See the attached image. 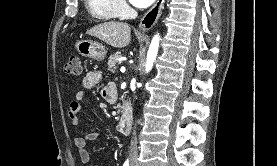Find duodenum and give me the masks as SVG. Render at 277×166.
I'll return each mask as SVG.
<instances>
[{
	"instance_id": "duodenum-1",
	"label": "duodenum",
	"mask_w": 277,
	"mask_h": 166,
	"mask_svg": "<svg viewBox=\"0 0 277 166\" xmlns=\"http://www.w3.org/2000/svg\"><path fill=\"white\" fill-rule=\"evenodd\" d=\"M132 110L127 102L122 105V112L119 118L117 128L121 133L127 134L131 129Z\"/></svg>"
}]
</instances>
